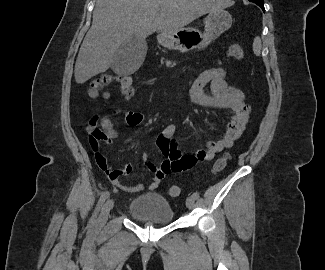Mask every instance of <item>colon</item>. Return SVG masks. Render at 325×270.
Masks as SVG:
<instances>
[{
  "label": "colon",
  "mask_w": 325,
  "mask_h": 270,
  "mask_svg": "<svg viewBox=\"0 0 325 270\" xmlns=\"http://www.w3.org/2000/svg\"><path fill=\"white\" fill-rule=\"evenodd\" d=\"M225 58H231L236 60H242L244 58V51L239 45H231L225 55ZM197 80L196 75L191 79L190 85L192 86ZM113 81H117L119 84L120 92L123 97L130 98L134 94L133 80L129 76L115 77L110 74H103L97 79H95L88 91V94L91 98H97L102 94V90L108 86ZM105 96V95H104ZM87 132L89 137V143L91 148L96 152L98 151L100 141H108L111 138V126L110 123L103 119L89 120L87 124ZM229 155L225 154L219 158L214 166V172H220L223 170L227 164ZM181 193V189L173 185L169 188V195L171 197H178Z\"/></svg>",
  "instance_id": "obj_1"
}]
</instances>
